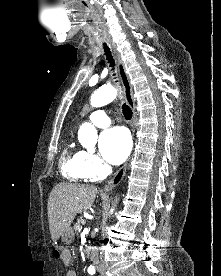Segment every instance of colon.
Returning <instances> with one entry per match:
<instances>
[{
    "label": "colon",
    "instance_id": "obj_1",
    "mask_svg": "<svg viewBox=\"0 0 221 276\" xmlns=\"http://www.w3.org/2000/svg\"><path fill=\"white\" fill-rule=\"evenodd\" d=\"M56 250L54 251V255L56 258L62 257L63 251H64V246H56Z\"/></svg>",
    "mask_w": 221,
    "mask_h": 276
}]
</instances>
